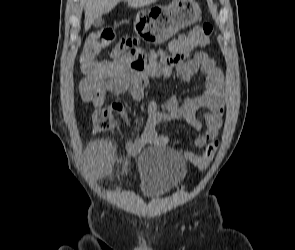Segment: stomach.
I'll return each mask as SVG.
<instances>
[{"mask_svg":"<svg viewBox=\"0 0 295 250\" xmlns=\"http://www.w3.org/2000/svg\"><path fill=\"white\" fill-rule=\"evenodd\" d=\"M202 12L194 0H173L168 5L139 10L135 19V30L148 45H163L180 29L194 24Z\"/></svg>","mask_w":295,"mask_h":250,"instance_id":"0dacf381","label":"stomach"}]
</instances>
